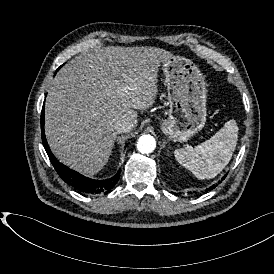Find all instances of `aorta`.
<instances>
[{
    "label": "aorta",
    "instance_id": "obj_1",
    "mask_svg": "<svg viewBox=\"0 0 274 274\" xmlns=\"http://www.w3.org/2000/svg\"><path fill=\"white\" fill-rule=\"evenodd\" d=\"M156 147V142L151 135H142L137 142V149L142 154L151 153Z\"/></svg>",
    "mask_w": 274,
    "mask_h": 274
}]
</instances>
